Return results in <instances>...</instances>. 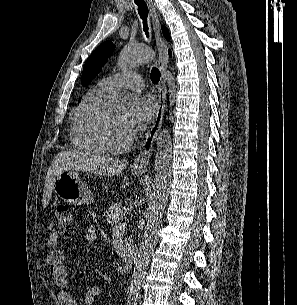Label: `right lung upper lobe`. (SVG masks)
I'll list each match as a JSON object with an SVG mask.
<instances>
[{
	"mask_svg": "<svg viewBox=\"0 0 297 305\" xmlns=\"http://www.w3.org/2000/svg\"><path fill=\"white\" fill-rule=\"evenodd\" d=\"M169 56H171V51L169 50Z\"/></svg>",
	"mask_w": 297,
	"mask_h": 305,
	"instance_id": "right-lung-upper-lobe-1",
	"label": "right lung upper lobe"
}]
</instances>
